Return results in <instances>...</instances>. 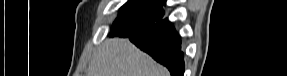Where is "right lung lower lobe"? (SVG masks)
Instances as JSON below:
<instances>
[{
    "mask_svg": "<svg viewBox=\"0 0 287 76\" xmlns=\"http://www.w3.org/2000/svg\"><path fill=\"white\" fill-rule=\"evenodd\" d=\"M128 37L137 47L168 68L172 76H183L184 61L181 40L167 19L160 20L142 33Z\"/></svg>",
    "mask_w": 287,
    "mask_h": 76,
    "instance_id": "obj_1",
    "label": "right lung lower lobe"
}]
</instances>
